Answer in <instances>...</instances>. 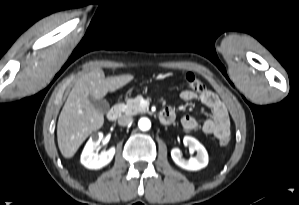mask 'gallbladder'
<instances>
[{
    "label": "gallbladder",
    "instance_id": "gallbladder-1",
    "mask_svg": "<svg viewBox=\"0 0 299 205\" xmlns=\"http://www.w3.org/2000/svg\"><path fill=\"white\" fill-rule=\"evenodd\" d=\"M89 100L95 109L100 111L101 113H107L110 109L109 103L105 99L97 100L92 96H89Z\"/></svg>",
    "mask_w": 299,
    "mask_h": 205
}]
</instances>
